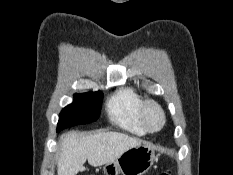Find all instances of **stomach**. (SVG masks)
I'll return each mask as SVG.
<instances>
[{
  "label": "stomach",
  "instance_id": "1",
  "mask_svg": "<svg viewBox=\"0 0 233 175\" xmlns=\"http://www.w3.org/2000/svg\"><path fill=\"white\" fill-rule=\"evenodd\" d=\"M155 160V149L150 144H140L125 151L116 160L105 164V175H143Z\"/></svg>",
  "mask_w": 233,
  "mask_h": 175
}]
</instances>
